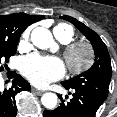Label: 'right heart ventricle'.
Here are the masks:
<instances>
[{
  "instance_id": "right-heart-ventricle-1",
  "label": "right heart ventricle",
  "mask_w": 117,
  "mask_h": 117,
  "mask_svg": "<svg viewBox=\"0 0 117 117\" xmlns=\"http://www.w3.org/2000/svg\"><path fill=\"white\" fill-rule=\"evenodd\" d=\"M53 33L55 37L63 44L70 43L75 37V31L72 26L59 23L54 26Z\"/></svg>"
}]
</instances>
